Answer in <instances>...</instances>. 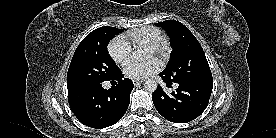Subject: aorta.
Listing matches in <instances>:
<instances>
[{"mask_svg":"<svg viewBox=\"0 0 276 138\" xmlns=\"http://www.w3.org/2000/svg\"><path fill=\"white\" fill-rule=\"evenodd\" d=\"M132 56L135 59L140 60V59H144L147 55H146V53H144L138 49V50L133 51ZM144 87L147 91L154 92L157 89V82L154 79H148L145 81Z\"/></svg>","mask_w":276,"mask_h":138,"instance_id":"obj_1","label":"aorta"}]
</instances>
